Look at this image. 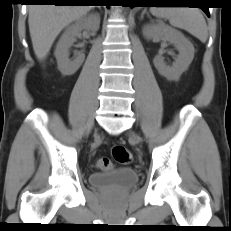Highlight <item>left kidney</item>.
<instances>
[{"label":"left kidney","instance_id":"obj_1","mask_svg":"<svg viewBox=\"0 0 231 231\" xmlns=\"http://www.w3.org/2000/svg\"><path fill=\"white\" fill-rule=\"evenodd\" d=\"M146 39L158 40L160 38L175 45L179 51L172 66H167L161 56L154 58V65L158 72L168 80L177 81L182 73L186 71L194 58L195 49L193 44L178 30L165 25H147L143 29Z\"/></svg>","mask_w":231,"mask_h":231}]
</instances>
